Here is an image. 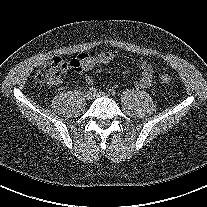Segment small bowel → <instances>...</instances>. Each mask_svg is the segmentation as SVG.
Here are the masks:
<instances>
[{"label": "small bowel", "mask_w": 207, "mask_h": 207, "mask_svg": "<svg viewBox=\"0 0 207 207\" xmlns=\"http://www.w3.org/2000/svg\"><path fill=\"white\" fill-rule=\"evenodd\" d=\"M118 57L132 61L140 69V76L134 82L136 88L144 89L151 85L153 78V69L148 62L139 57L126 54H118L113 51H104L96 55L79 54L76 58L70 61V67L76 73L84 74L92 70L96 65L108 64ZM86 82L88 84H92L93 79L91 77H87Z\"/></svg>", "instance_id": "small-bowel-1"}]
</instances>
